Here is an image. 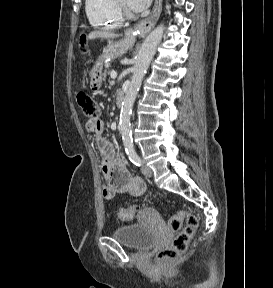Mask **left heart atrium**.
<instances>
[{"instance_id":"39dd6f15","label":"left heart atrium","mask_w":273,"mask_h":288,"mask_svg":"<svg viewBox=\"0 0 273 288\" xmlns=\"http://www.w3.org/2000/svg\"><path fill=\"white\" fill-rule=\"evenodd\" d=\"M127 6L133 12H142L144 11L151 3V0H126Z\"/></svg>"}]
</instances>
